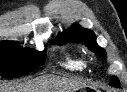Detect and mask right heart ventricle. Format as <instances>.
I'll list each match as a JSON object with an SVG mask.
<instances>
[{"label": "right heart ventricle", "mask_w": 127, "mask_h": 92, "mask_svg": "<svg viewBox=\"0 0 127 92\" xmlns=\"http://www.w3.org/2000/svg\"><path fill=\"white\" fill-rule=\"evenodd\" d=\"M62 66L71 71L82 70L85 67V63L81 56L74 53H67L65 55Z\"/></svg>", "instance_id": "1"}]
</instances>
